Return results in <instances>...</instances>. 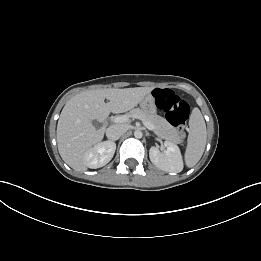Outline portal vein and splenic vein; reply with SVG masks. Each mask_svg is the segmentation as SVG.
I'll list each match as a JSON object with an SVG mask.
<instances>
[{
  "mask_svg": "<svg viewBox=\"0 0 261 261\" xmlns=\"http://www.w3.org/2000/svg\"><path fill=\"white\" fill-rule=\"evenodd\" d=\"M128 119H129L128 116L123 115V116L115 117V118L113 119V121H114L115 123H124V122H127ZM142 121H143V124L147 127V129H149V130H151V131L154 130L153 124H151L150 122H148V121H146V120H144V119H142Z\"/></svg>",
  "mask_w": 261,
  "mask_h": 261,
  "instance_id": "18ae733b",
  "label": "portal vein and splenic vein"
}]
</instances>
